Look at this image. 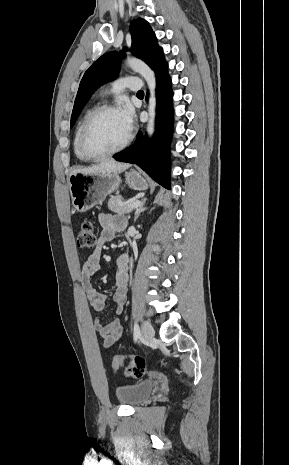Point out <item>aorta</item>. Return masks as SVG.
<instances>
[{
    "label": "aorta",
    "instance_id": "762f6f07",
    "mask_svg": "<svg viewBox=\"0 0 289 465\" xmlns=\"http://www.w3.org/2000/svg\"><path fill=\"white\" fill-rule=\"evenodd\" d=\"M126 64L133 71L139 73L146 81L149 89V103H148V114L149 120L147 123V134L148 137H152L155 130V117H156V76L154 71L146 65L143 61L134 58L128 57L126 59Z\"/></svg>",
    "mask_w": 289,
    "mask_h": 465
}]
</instances>
